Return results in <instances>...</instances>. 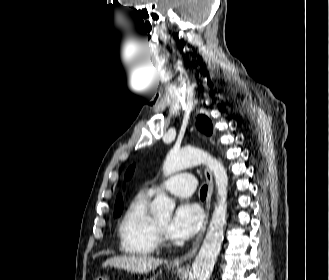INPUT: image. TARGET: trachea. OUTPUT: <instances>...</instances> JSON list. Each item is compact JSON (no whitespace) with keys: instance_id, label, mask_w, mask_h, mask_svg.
I'll list each match as a JSON object with an SVG mask.
<instances>
[{"instance_id":"trachea-1","label":"trachea","mask_w":329,"mask_h":280,"mask_svg":"<svg viewBox=\"0 0 329 280\" xmlns=\"http://www.w3.org/2000/svg\"><path fill=\"white\" fill-rule=\"evenodd\" d=\"M207 185H204L202 188H201V191H200V196L202 199H205L206 196H207Z\"/></svg>"}]
</instances>
